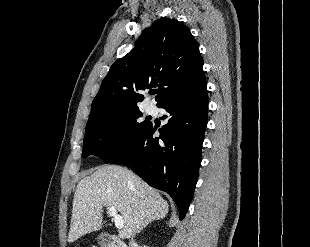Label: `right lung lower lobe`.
<instances>
[{"label": "right lung lower lobe", "instance_id": "1", "mask_svg": "<svg viewBox=\"0 0 310 247\" xmlns=\"http://www.w3.org/2000/svg\"><path fill=\"white\" fill-rule=\"evenodd\" d=\"M160 108L168 114L160 136L150 125L126 152L110 163L128 164L150 186L167 192L175 201L179 218L188 210L197 183L201 147L207 125V82L175 95Z\"/></svg>", "mask_w": 310, "mask_h": 247}]
</instances>
